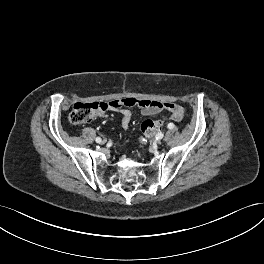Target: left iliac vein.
Wrapping results in <instances>:
<instances>
[{
    "instance_id": "obj_1",
    "label": "left iliac vein",
    "mask_w": 264,
    "mask_h": 264,
    "mask_svg": "<svg viewBox=\"0 0 264 264\" xmlns=\"http://www.w3.org/2000/svg\"><path fill=\"white\" fill-rule=\"evenodd\" d=\"M158 144H163L164 142H163V139H158L157 141H156Z\"/></svg>"
}]
</instances>
